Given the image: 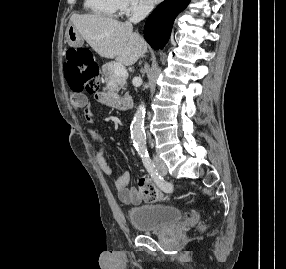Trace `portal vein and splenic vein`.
I'll return each mask as SVG.
<instances>
[{
    "label": "portal vein and splenic vein",
    "instance_id": "obj_1",
    "mask_svg": "<svg viewBox=\"0 0 286 269\" xmlns=\"http://www.w3.org/2000/svg\"><path fill=\"white\" fill-rule=\"evenodd\" d=\"M114 72L116 75H119V76L127 75L126 68L121 63H118V62L114 64Z\"/></svg>",
    "mask_w": 286,
    "mask_h": 269
}]
</instances>
